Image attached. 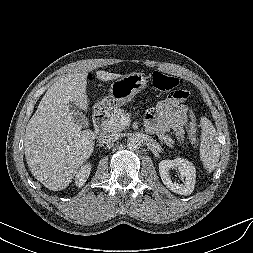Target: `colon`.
<instances>
[{
  "label": "colon",
  "instance_id": "colon-1",
  "mask_svg": "<svg viewBox=\"0 0 253 253\" xmlns=\"http://www.w3.org/2000/svg\"><path fill=\"white\" fill-rule=\"evenodd\" d=\"M153 86L164 92H170V96L175 99H186L187 92L183 89L178 88L179 81L176 77L164 74L160 71H155L152 74ZM191 139L195 140V135L191 133Z\"/></svg>",
  "mask_w": 253,
  "mask_h": 253
}]
</instances>
